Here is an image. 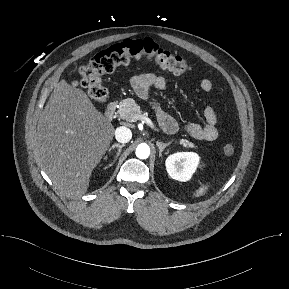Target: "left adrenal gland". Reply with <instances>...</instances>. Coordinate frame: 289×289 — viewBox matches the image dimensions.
Wrapping results in <instances>:
<instances>
[{"label":"left adrenal gland","mask_w":289,"mask_h":289,"mask_svg":"<svg viewBox=\"0 0 289 289\" xmlns=\"http://www.w3.org/2000/svg\"><path fill=\"white\" fill-rule=\"evenodd\" d=\"M156 145H157L158 148H159V157H161L164 149H165L166 147H168V146L170 145V143H162V142H158V141H157V142H156Z\"/></svg>","instance_id":"left-adrenal-gland-1"}]
</instances>
